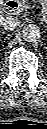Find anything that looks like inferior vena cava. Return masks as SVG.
Masks as SVG:
<instances>
[{"mask_svg":"<svg viewBox=\"0 0 47 129\" xmlns=\"http://www.w3.org/2000/svg\"><path fill=\"white\" fill-rule=\"evenodd\" d=\"M19 24V20L13 16H3L0 19V26L5 30H13Z\"/></svg>","mask_w":47,"mask_h":129,"instance_id":"602c4592","label":"inferior vena cava"}]
</instances>
